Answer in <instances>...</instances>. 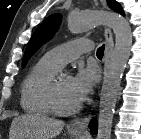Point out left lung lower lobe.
Listing matches in <instances>:
<instances>
[{"instance_id": "left-lung-lower-lobe-1", "label": "left lung lower lobe", "mask_w": 141, "mask_h": 139, "mask_svg": "<svg viewBox=\"0 0 141 139\" xmlns=\"http://www.w3.org/2000/svg\"><path fill=\"white\" fill-rule=\"evenodd\" d=\"M90 128H91V132L93 134H96L97 133V122H96L95 119L91 121Z\"/></svg>"}]
</instances>
